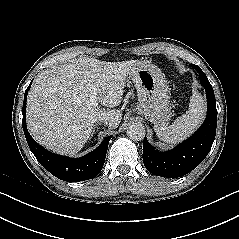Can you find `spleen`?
I'll return each instance as SVG.
<instances>
[{"label":"spleen","instance_id":"1","mask_svg":"<svg viewBox=\"0 0 239 239\" xmlns=\"http://www.w3.org/2000/svg\"><path fill=\"white\" fill-rule=\"evenodd\" d=\"M205 110V102L201 94L195 91L190 98L189 110L178 117L170 126H154L156 135L166 143H180L192 135L202 124Z\"/></svg>","mask_w":239,"mask_h":239}]
</instances>
